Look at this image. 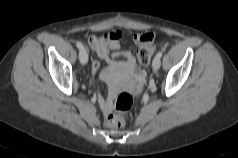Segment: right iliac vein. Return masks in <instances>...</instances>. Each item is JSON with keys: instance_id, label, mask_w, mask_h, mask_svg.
Listing matches in <instances>:
<instances>
[{"instance_id": "1", "label": "right iliac vein", "mask_w": 238, "mask_h": 158, "mask_svg": "<svg viewBox=\"0 0 238 158\" xmlns=\"http://www.w3.org/2000/svg\"><path fill=\"white\" fill-rule=\"evenodd\" d=\"M79 60L81 64L85 65L88 62V53L86 49H81L79 51Z\"/></svg>"}]
</instances>
